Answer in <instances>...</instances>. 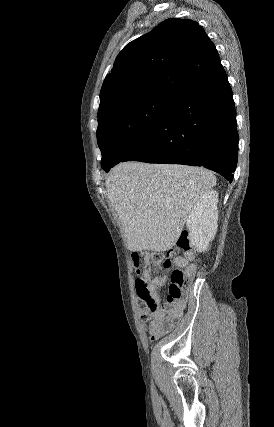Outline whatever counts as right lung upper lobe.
<instances>
[{
  "mask_svg": "<svg viewBox=\"0 0 274 427\" xmlns=\"http://www.w3.org/2000/svg\"><path fill=\"white\" fill-rule=\"evenodd\" d=\"M221 70L217 50L203 27L190 19H167L118 54L101 88L98 115L136 97H177Z\"/></svg>",
  "mask_w": 274,
  "mask_h": 427,
  "instance_id": "1",
  "label": "right lung upper lobe"
}]
</instances>
